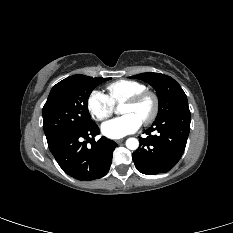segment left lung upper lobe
I'll return each mask as SVG.
<instances>
[{
	"label": "left lung upper lobe",
	"mask_w": 233,
	"mask_h": 233,
	"mask_svg": "<svg viewBox=\"0 0 233 233\" xmlns=\"http://www.w3.org/2000/svg\"><path fill=\"white\" fill-rule=\"evenodd\" d=\"M130 78L143 80L156 90L159 99V111L156 120L180 108L188 107L186 94L181 86L170 76L147 72L134 75Z\"/></svg>",
	"instance_id": "obj_1"
}]
</instances>
